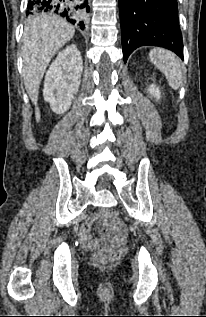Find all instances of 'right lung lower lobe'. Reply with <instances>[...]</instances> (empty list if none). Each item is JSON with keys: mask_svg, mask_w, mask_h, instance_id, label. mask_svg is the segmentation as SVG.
Wrapping results in <instances>:
<instances>
[{"mask_svg": "<svg viewBox=\"0 0 206 317\" xmlns=\"http://www.w3.org/2000/svg\"><path fill=\"white\" fill-rule=\"evenodd\" d=\"M85 10L89 11L87 0H28L26 14L28 16L44 12H55L84 30L83 17Z\"/></svg>", "mask_w": 206, "mask_h": 317, "instance_id": "obj_1", "label": "right lung lower lobe"}]
</instances>
